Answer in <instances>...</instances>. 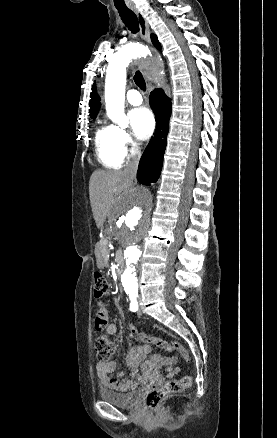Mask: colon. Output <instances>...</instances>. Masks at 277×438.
I'll return each mask as SVG.
<instances>
[{
	"label": "colon",
	"mask_w": 277,
	"mask_h": 438,
	"mask_svg": "<svg viewBox=\"0 0 277 438\" xmlns=\"http://www.w3.org/2000/svg\"><path fill=\"white\" fill-rule=\"evenodd\" d=\"M94 283V298L98 302L96 322L98 325L105 327L108 322V309L107 305L102 303L101 300L106 297L109 291V286L104 274L100 271L95 272ZM152 342L168 350H173L179 358H188L187 351L178 343L171 345L160 339H154ZM95 348L97 350V358L100 362H102L108 360L114 353L115 344L106 334H100L95 338ZM190 385V376H182L172 380H165L164 386L161 389H150L149 393H145V409H160L161 402H164L165 398H176L178 393L182 392Z\"/></svg>",
	"instance_id": "colon-1"
}]
</instances>
